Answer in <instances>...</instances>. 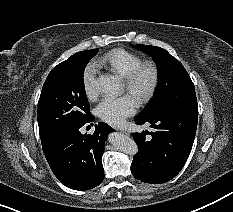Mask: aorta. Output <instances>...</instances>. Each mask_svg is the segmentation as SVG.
Wrapping results in <instances>:
<instances>
[{
	"instance_id": "1",
	"label": "aorta",
	"mask_w": 233,
	"mask_h": 212,
	"mask_svg": "<svg viewBox=\"0 0 233 212\" xmlns=\"http://www.w3.org/2000/svg\"><path fill=\"white\" fill-rule=\"evenodd\" d=\"M120 87V81L112 75H100L96 81V89L106 94H117L120 91ZM109 142L125 154L135 155L138 153L136 142L124 134H110Z\"/></svg>"
}]
</instances>
